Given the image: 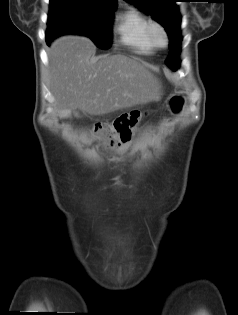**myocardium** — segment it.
Listing matches in <instances>:
<instances>
[{"instance_id":"obj_1","label":"myocardium","mask_w":238,"mask_h":315,"mask_svg":"<svg viewBox=\"0 0 238 315\" xmlns=\"http://www.w3.org/2000/svg\"><path fill=\"white\" fill-rule=\"evenodd\" d=\"M149 38L157 48H164L168 44V34L165 27L157 21L150 22L148 27Z\"/></svg>"}]
</instances>
